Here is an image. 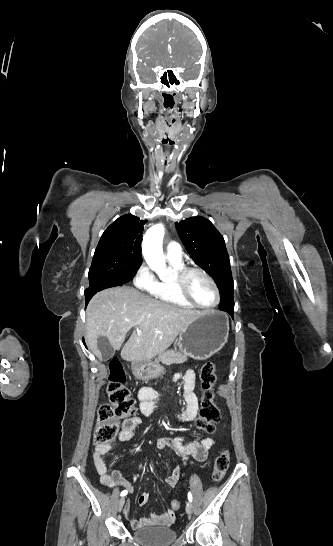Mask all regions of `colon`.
<instances>
[{
    "mask_svg": "<svg viewBox=\"0 0 333 546\" xmlns=\"http://www.w3.org/2000/svg\"><path fill=\"white\" fill-rule=\"evenodd\" d=\"M200 381L203 395L202 403L196 420V427L208 434L215 430V423L220 419V411L214 403L213 386L216 382V366L213 362H206L200 370ZM109 403L103 404L98 411V421L94 432L95 445L112 443L119 432L123 419L135 416L137 409L131 391L126 386V375L118 359L109 363L108 376ZM228 451L221 452L215 459L212 471L214 482H220L229 467ZM173 510L181 507L179 500L171 502Z\"/></svg>",
    "mask_w": 333,
    "mask_h": 546,
    "instance_id": "5ec220e1",
    "label": "colon"
}]
</instances>
